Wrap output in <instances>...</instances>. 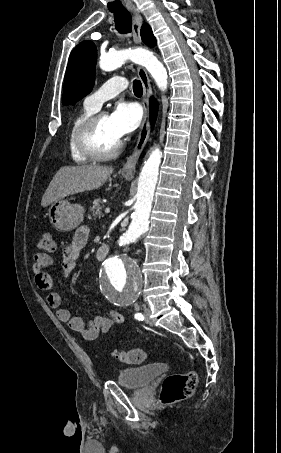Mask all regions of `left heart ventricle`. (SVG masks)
Here are the masks:
<instances>
[{
	"label": "left heart ventricle",
	"instance_id": "1",
	"mask_svg": "<svg viewBox=\"0 0 281 453\" xmlns=\"http://www.w3.org/2000/svg\"><path fill=\"white\" fill-rule=\"evenodd\" d=\"M120 139L112 129L109 117H104L99 123L95 134V143L98 149L104 152L110 151Z\"/></svg>",
	"mask_w": 281,
	"mask_h": 453
}]
</instances>
